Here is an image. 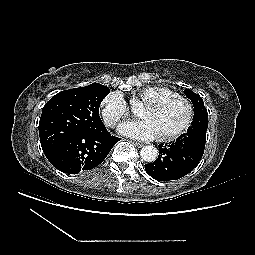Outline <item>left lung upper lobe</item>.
Here are the masks:
<instances>
[{
	"label": "left lung upper lobe",
	"mask_w": 255,
	"mask_h": 255,
	"mask_svg": "<svg viewBox=\"0 0 255 255\" xmlns=\"http://www.w3.org/2000/svg\"><path fill=\"white\" fill-rule=\"evenodd\" d=\"M186 96L191 100L194 105V117L192 126L188 129L190 133L196 129H207L208 127V113L204 106L203 99L191 90H184Z\"/></svg>",
	"instance_id": "5c2ea615"
}]
</instances>
